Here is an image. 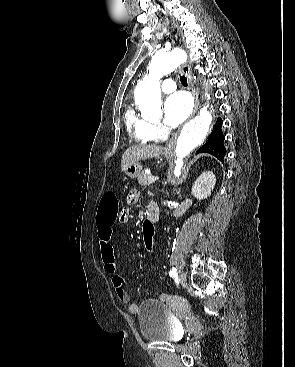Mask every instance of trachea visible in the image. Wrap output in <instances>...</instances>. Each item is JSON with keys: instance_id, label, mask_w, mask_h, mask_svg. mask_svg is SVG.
I'll list each match as a JSON object with an SVG mask.
<instances>
[{"instance_id": "obj_1", "label": "trachea", "mask_w": 295, "mask_h": 367, "mask_svg": "<svg viewBox=\"0 0 295 367\" xmlns=\"http://www.w3.org/2000/svg\"><path fill=\"white\" fill-rule=\"evenodd\" d=\"M180 81H181L182 85L187 86V78L185 76H181Z\"/></svg>"}]
</instances>
